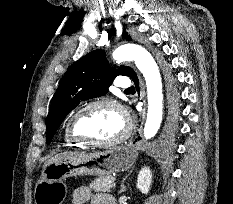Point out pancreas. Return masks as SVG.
Here are the masks:
<instances>
[{"label": "pancreas", "instance_id": "cf45deb5", "mask_svg": "<svg viewBox=\"0 0 233 204\" xmlns=\"http://www.w3.org/2000/svg\"><path fill=\"white\" fill-rule=\"evenodd\" d=\"M115 178L113 176H104L94 179L90 184L89 188L93 189L97 193L110 192L115 188Z\"/></svg>", "mask_w": 233, "mask_h": 204}]
</instances>
